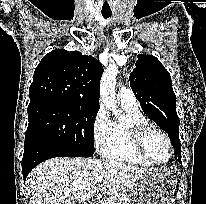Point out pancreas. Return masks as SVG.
Wrapping results in <instances>:
<instances>
[{
  "instance_id": "1",
  "label": "pancreas",
  "mask_w": 206,
  "mask_h": 204,
  "mask_svg": "<svg viewBox=\"0 0 206 204\" xmlns=\"http://www.w3.org/2000/svg\"><path fill=\"white\" fill-rule=\"evenodd\" d=\"M127 204L125 194L123 192L117 193L114 196L104 200L103 204Z\"/></svg>"
}]
</instances>
